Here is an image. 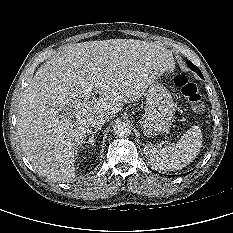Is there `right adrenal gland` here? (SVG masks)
I'll use <instances>...</instances> for the list:
<instances>
[{
	"label": "right adrenal gland",
	"instance_id": "obj_1",
	"mask_svg": "<svg viewBox=\"0 0 233 233\" xmlns=\"http://www.w3.org/2000/svg\"><path fill=\"white\" fill-rule=\"evenodd\" d=\"M100 130H101V128L96 129V130L93 131V132L91 133V135L88 137V143H89L90 145H94V142H95V135H96L97 132L100 131Z\"/></svg>",
	"mask_w": 233,
	"mask_h": 233
}]
</instances>
